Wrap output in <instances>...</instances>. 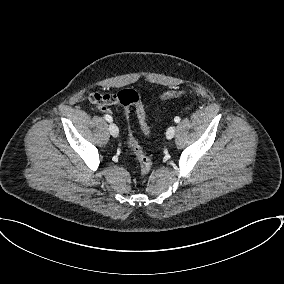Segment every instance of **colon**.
Here are the masks:
<instances>
[{
	"label": "colon",
	"instance_id": "colon-1",
	"mask_svg": "<svg viewBox=\"0 0 284 284\" xmlns=\"http://www.w3.org/2000/svg\"><path fill=\"white\" fill-rule=\"evenodd\" d=\"M186 92L187 91L185 90H170L161 96V100L166 101L171 98L183 95ZM118 101L119 105L122 107V112L125 117L128 116L129 106L135 107L140 128L145 135L149 136L151 134V130L148 126L146 112L138 92L134 89L122 90L118 93ZM127 143L131 153L135 156L136 160L139 163L141 175H147L152 167L151 159L144 153L139 143L136 141V139L132 136L131 133H129L127 137Z\"/></svg>",
	"mask_w": 284,
	"mask_h": 284
}]
</instances>
